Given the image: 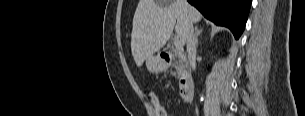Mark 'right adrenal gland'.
Listing matches in <instances>:
<instances>
[{"mask_svg":"<svg viewBox=\"0 0 305 116\" xmlns=\"http://www.w3.org/2000/svg\"><path fill=\"white\" fill-rule=\"evenodd\" d=\"M203 29H198V26L195 27V41L196 46H198V36L202 33Z\"/></svg>","mask_w":305,"mask_h":116,"instance_id":"2a0ac1e0","label":"right adrenal gland"}]
</instances>
